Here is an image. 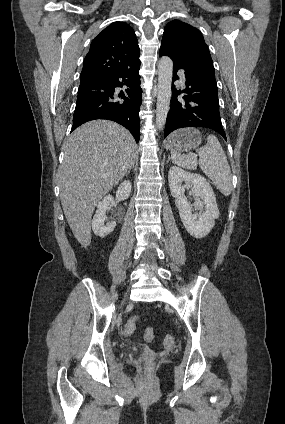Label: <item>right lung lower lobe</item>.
I'll return each mask as SVG.
<instances>
[{"instance_id": "obj_1", "label": "right lung lower lobe", "mask_w": 285, "mask_h": 424, "mask_svg": "<svg viewBox=\"0 0 285 424\" xmlns=\"http://www.w3.org/2000/svg\"><path fill=\"white\" fill-rule=\"evenodd\" d=\"M139 69L140 63L106 78L80 83L71 131L87 121L107 119L126 127L138 142L142 93ZM123 85L128 88L115 95V88Z\"/></svg>"}]
</instances>
